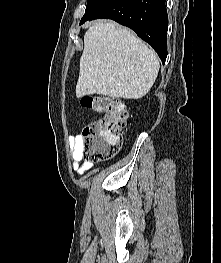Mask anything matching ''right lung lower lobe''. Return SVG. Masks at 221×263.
Listing matches in <instances>:
<instances>
[{
    "label": "right lung lower lobe",
    "instance_id": "right-lung-lower-lobe-1",
    "mask_svg": "<svg viewBox=\"0 0 221 263\" xmlns=\"http://www.w3.org/2000/svg\"><path fill=\"white\" fill-rule=\"evenodd\" d=\"M166 0H109L86 21L108 18L136 32L157 52L162 63L167 57L168 16Z\"/></svg>",
    "mask_w": 221,
    "mask_h": 263
}]
</instances>
